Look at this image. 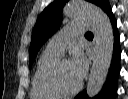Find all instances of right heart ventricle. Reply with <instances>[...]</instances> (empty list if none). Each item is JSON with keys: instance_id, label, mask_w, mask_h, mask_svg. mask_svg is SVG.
<instances>
[{"instance_id": "1", "label": "right heart ventricle", "mask_w": 128, "mask_h": 99, "mask_svg": "<svg viewBox=\"0 0 128 99\" xmlns=\"http://www.w3.org/2000/svg\"><path fill=\"white\" fill-rule=\"evenodd\" d=\"M60 54L45 49L39 56L33 73L30 96L32 99H58L60 95L49 89L45 75L49 68L60 58Z\"/></svg>"}]
</instances>
